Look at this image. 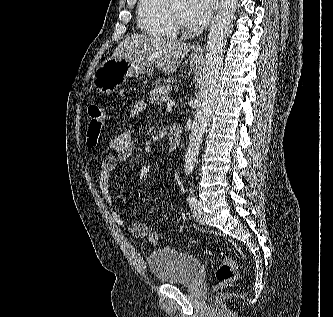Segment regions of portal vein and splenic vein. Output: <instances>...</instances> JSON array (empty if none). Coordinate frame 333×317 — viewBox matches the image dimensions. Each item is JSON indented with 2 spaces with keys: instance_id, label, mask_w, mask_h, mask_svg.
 Wrapping results in <instances>:
<instances>
[{
  "instance_id": "1",
  "label": "portal vein and splenic vein",
  "mask_w": 333,
  "mask_h": 317,
  "mask_svg": "<svg viewBox=\"0 0 333 317\" xmlns=\"http://www.w3.org/2000/svg\"><path fill=\"white\" fill-rule=\"evenodd\" d=\"M166 102H167V108L170 109L175 105L174 101H171L169 98H165Z\"/></svg>"
}]
</instances>
